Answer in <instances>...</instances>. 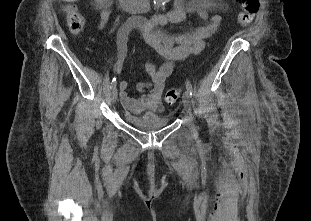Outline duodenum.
I'll use <instances>...</instances> for the list:
<instances>
[{"mask_svg": "<svg viewBox=\"0 0 311 221\" xmlns=\"http://www.w3.org/2000/svg\"><path fill=\"white\" fill-rule=\"evenodd\" d=\"M152 0H118L121 10L144 11L150 8ZM147 24L146 21L140 20L130 23L133 28H140Z\"/></svg>", "mask_w": 311, "mask_h": 221, "instance_id": "410a0bca", "label": "duodenum"}]
</instances>
